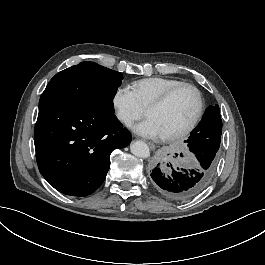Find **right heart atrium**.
<instances>
[{
	"mask_svg": "<svg viewBox=\"0 0 265 265\" xmlns=\"http://www.w3.org/2000/svg\"><path fill=\"white\" fill-rule=\"evenodd\" d=\"M135 101L134 94L129 91L128 85L121 84L115 88L114 94L111 96V108L119 122L131 125L137 119L142 118L143 107L140 104H135Z\"/></svg>",
	"mask_w": 265,
	"mask_h": 265,
	"instance_id": "d8ad5b80",
	"label": "right heart atrium"
}]
</instances>
